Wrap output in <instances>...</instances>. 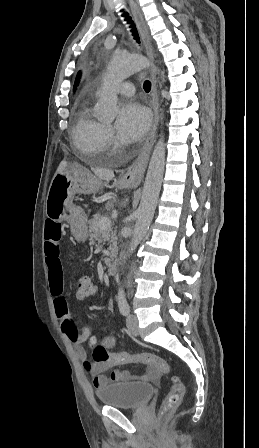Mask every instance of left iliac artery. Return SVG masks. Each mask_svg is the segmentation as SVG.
Returning a JSON list of instances; mask_svg holds the SVG:
<instances>
[{
    "mask_svg": "<svg viewBox=\"0 0 259 448\" xmlns=\"http://www.w3.org/2000/svg\"><path fill=\"white\" fill-rule=\"evenodd\" d=\"M118 306L122 315L126 316L130 312V307L126 299L125 292L122 287L118 290Z\"/></svg>",
    "mask_w": 259,
    "mask_h": 448,
    "instance_id": "1",
    "label": "left iliac artery"
}]
</instances>
